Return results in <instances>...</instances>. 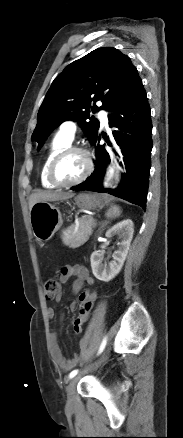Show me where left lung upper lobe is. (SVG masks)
I'll return each mask as SVG.
<instances>
[{"mask_svg": "<svg viewBox=\"0 0 183 438\" xmlns=\"http://www.w3.org/2000/svg\"><path fill=\"white\" fill-rule=\"evenodd\" d=\"M138 76L129 57L113 47L98 48L72 62L48 90L31 139L41 146L56 126L74 120L93 142L99 122L90 117V110L99 108L91 102L101 100L100 108L109 111Z\"/></svg>", "mask_w": 183, "mask_h": 438, "instance_id": "5c2ea615", "label": "left lung upper lobe"}]
</instances>
